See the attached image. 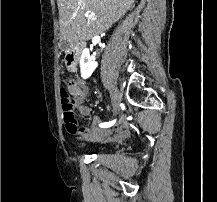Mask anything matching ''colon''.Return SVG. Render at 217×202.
<instances>
[{
    "mask_svg": "<svg viewBox=\"0 0 217 202\" xmlns=\"http://www.w3.org/2000/svg\"><path fill=\"white\" fill-rule=\"evenodd\" d=\"M62 55H67V50H62ZM65 77H68V74H65ZM73 89L69 87H63L61 90L62 100H63V111L64 119L69 133H77L82 131L78 127V121L75 116V105L73 102V97L71 96Z\"/></svg>",
    "mask_w": 217,
    "mask_h": 202,
    "instance_id": "obj_1",
    "label": "colon"
}]
</instances>
